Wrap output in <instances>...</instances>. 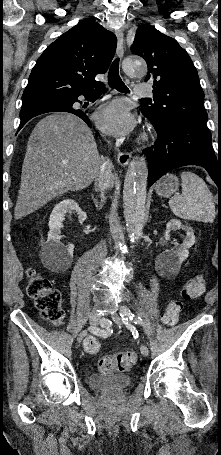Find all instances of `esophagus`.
Returning <instances> with one entry per match:
<instances>
[{
  "instance_id": "esophagus-1",
  "label": "esophagus",
  "mask_w": 221,
  "mask_h": 455,
  "mask_svg": "<svg viewBox=\"0 0 221 455\" xmlns=\"http://www.w3.org/2000/svg\"><path fill=\"white\" fill-rule=\"evenodd\" d=\"M116 37H117V55L122 58L124 54V35L123 32L118 29L116 30ZM131 159V154L127 152H118L117 160L118 163L125 167L129 164Z\"/></svg>"
}]
</instances>
